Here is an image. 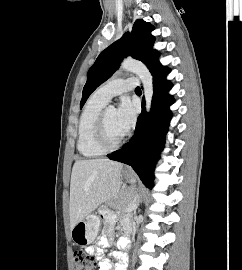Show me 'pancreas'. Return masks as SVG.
I'll list each match as a JSON object with an SVG mask.
<instances>
[{
  "label": "pancreas",
  "instance_id": "obj_1",
  "mask_svg": "<svg viewBox=\"0 0 242 270\" xmlns=\"http://www.w3.org/2000/svg\"><path fill=\"white\" fill-rule=\"evenodd\" d=\"M134 202L135 195L130 190H125L116 200L112 201L110 206L116 208L117 210L124 211L130 205L134 204Z\"/></svg>",
  "mask_w": 242,
  "mask_h": 270
}]
</instances>
